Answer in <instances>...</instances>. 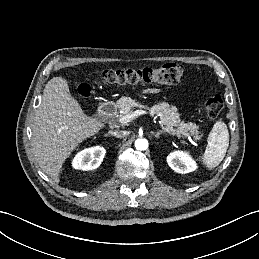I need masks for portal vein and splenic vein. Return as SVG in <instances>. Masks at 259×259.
<instances>
[{
    "instance_id": "obj_1",
    "label": "portal vein and splenic vein",
    "mask_w": 259,
    "mask_h": 259,
    "mask_svg": "<svg viewBox=\"0 0 259 259\" xmlns=\"http://www.w3.org/2000/svg\"><path fill=\"white\" fill-rule=\"evenodd\" d=\"M142 114H147V111L136 110V111L132 112L131 114L119 117L118 121L120 123L126 124Z\"/></svg>"
}]
</instances>
